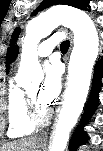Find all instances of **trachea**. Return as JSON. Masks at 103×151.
<instances>
[{
    "instance_id": "obj_1",
    "label": "trachea",
    "mask_w": 103,
    "mask_h": 151,
    "mask_svg": "<svg viewBox=\"0 0 103 151\" xmlns=\"http://www.w3.org/2000/svg\"><path fill=\"white\" fill-rule=\"evenodd\" d=\"M69 45H70V42L68 41V40H66V41H63L62 43H61V51L63 52V51H67L68 50V48H69Z\"/></svg>"
}]
</instances>
